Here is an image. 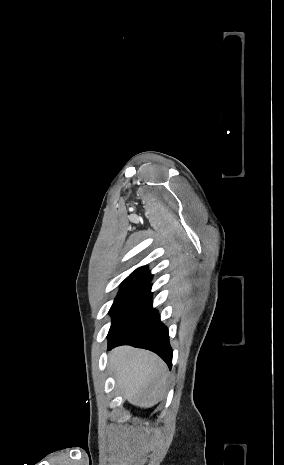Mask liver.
<instances>
[{
	"mask_svg": "<svg viewBox=\"0 0 284 465\" xmlns=\"http://www.w3.org/2000/svg\"><path fill=\"white\" fill-rule=\"evenodd\" d=\"M119 389L131 405L149 409L164 397L167 367L157 355L142 349L118 347L109 359Z\"/></svg>",
	"mask_w": 284,
	"mask_h": 465,
	"instance_id": "6515ba94",
	"label": "liver"
}]
</instances>
